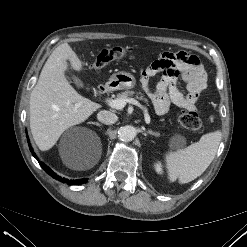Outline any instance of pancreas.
Returning a JSON list of instances; mask_svg holds the SVG:
<instances>
[{
  "mask_svg": "<svg viewBox=\"0 0 247 247\" xmlns=\"http://www.w3.org/2000/svg\"><path fill=\"white\" fill-rule=\"evenodd\" d=\"M134 94H135L134 91L127 90L125 92H122L121 94H118L117 97L119 99H131ZM136 98L139 99V100H142V101H144L146 103H148V100L146 98H144V96L141 93H139L138 95H136Z\"/></svg>",
  "mask_w": 247,
  "mask_h": 247,
  "instance_id": "1",
  "label": "pancreas"
}]
</instances>
